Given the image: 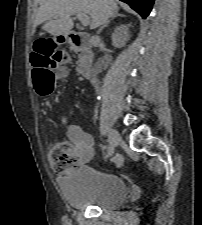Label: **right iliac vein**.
<instances>
[{"label": "right iliac vein", "mask_w": 202, "mask_h": 225, "mask_svg": "<svg viewBox=\"0 0 202 225\" xmlns=\"http://www.w3.org/2000/svg\"><path fill=\"white\" fill-rule=\"evenodd\" d=\"M108 139L110 142L111 152L114 151V148L118 145L121 141V137L119 133L115 129H110L108 133Z\"/></svg>", "instance_id": "obj_1"}]
</instances>
